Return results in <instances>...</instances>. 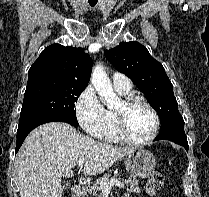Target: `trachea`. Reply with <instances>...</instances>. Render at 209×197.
Here are the masks:
<instances>
[{
    "label": "trachea",
    "mask_w": 209,
    "mask_h": 197,
    "mask_svg": "<svg viewBox=\"0 0 209 197\" xmlns=\"http://www.w3.org/2000/svg\"><path fill=\"white\" fill-rule=\"evenodd\" d=\"M89 4L91 7H94L97 4V0H89Z\"/></svg>",
    "instance_id": "trachea-1"
}]
</instances>
